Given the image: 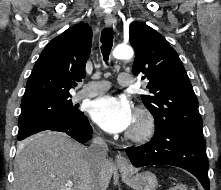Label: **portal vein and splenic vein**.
Wrapping results in <instances>:
<instances>
[{"label":"portal vein and splenic vein","instance_id":"18ae733b","mask_svg":"<svg viewBox=\"0 0 221 190\" xmlns=\"http://www.w3.org/2000/svg\"><path fill=\"white\" fill-rule=\"evenodd\" d=\"M66 186L72 187L73 186V182L71 180L66 181Z\"/></svg>","mask_w":221,"mask_h":190}]
</instances>
